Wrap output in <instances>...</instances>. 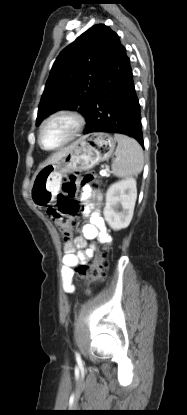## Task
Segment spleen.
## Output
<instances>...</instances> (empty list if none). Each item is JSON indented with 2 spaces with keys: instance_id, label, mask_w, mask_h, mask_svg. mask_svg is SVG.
<instances>
[{
  "instance_id": "1",
  "label": "spleen",
  "mask_w": 187,
  "mask_h": 415,
  "mask_svg": "<svg viewBox=\"0 0 187 415\" xmlns=\"http://www.w3.org/2000/svg\"><path fill=\"white\" fill-rule=\"evenodd\" d=\"M118 142L111 168L117 177L137 176L143 169L144 156L139 143L126 135L115 134Z\"/></svg>"
}]
</instances>
